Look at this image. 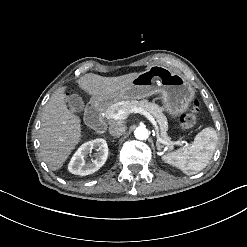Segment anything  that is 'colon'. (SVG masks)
Returning <instances> with one entry per match:
<instances>
[{"label": "colon", "instance_id": "5ec220e1", "mask_svg": "<svg viewBox=\"0 0 247 247\" xmlns=\"http://www.w3.org/2000/svg\"><path fill=\"white\" fill-rule=\"evenodd\" d=\"M199 102L197 100H193L190 105V112L184 113L180 116L179 122L183 127H190L196 122L195 114L198 112Z\"/></svg>", "mask_w": 247, "mask_h": 247}]
</instances>
